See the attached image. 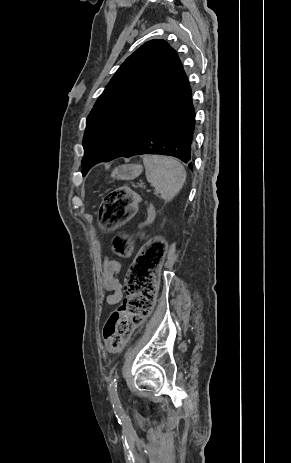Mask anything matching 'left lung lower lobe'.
<instances>
[{
    "mask_svg": "<svg viewBox=\"0 0 291 463\" xmlns=\"http://www.w3.org/2000/svg\"><path fill=\"white\" fill-rule=\"evenodd\" d=\"M194 130L195 111L192 104L191 88L188 85L171 109L145 133L130 151L119 157L128 158L135 155L150 154L168 155L180 159L191 169ZM111 160L113 159L103 158L99 162Z\"/></svg>",
    "mask_w": 291,
    "mask_h": 463,
    "instance_id": "1",
    "label": "left lung lower lobe"
}]
</instances>
